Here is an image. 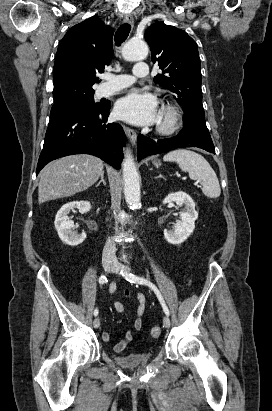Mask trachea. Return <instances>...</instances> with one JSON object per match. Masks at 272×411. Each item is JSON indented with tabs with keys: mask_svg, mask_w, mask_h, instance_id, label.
Instances as JSON below:
<instances>
[{
	"mask_svg": "<svg viewBox=\"0 0 272 411\" xmlns=\"http://www.w3.org/2000/svg\"><path fill=\"white\" fill-rule=\"evenodd\" d=\"M131 30V26L128 23L122 24L115 33V44L120 46L128 37Z\"/></svg>",
	"mask_w": 272,
	"mask_h": 411,
	"instance_id": "3493384b",
	"label": "trachea"
}]
</instances>
